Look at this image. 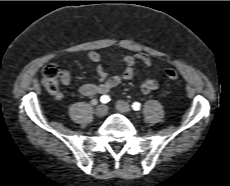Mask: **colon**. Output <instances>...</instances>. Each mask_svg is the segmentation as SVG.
Masks as SVG:
<instances>
[{"label":"colon","mask_w":230,"mask_h":186,"mask_svg":"<svg viewBox=\"0 0 230 186\" xmlns=\"http://www.w3.org/2000/svg\"><path fill=\"white\" fill-rule=\"evenodd\" d=\"M165 75L170 80H177L179 75L174 69L168 68L165 70ZM59 70L53 64L46 65L42 70V84L50 93H56L58 90Z\"/></svg>","instance_id":"5ec220e1"}]
</instances>
